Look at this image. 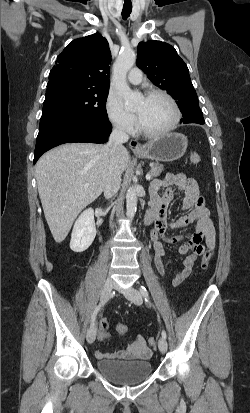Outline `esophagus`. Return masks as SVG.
Here are the masks:
<instances>
[{
  "mask_svg": "<svg viewBox=\"0 0 250 413\" xmlns=\"http://www.w3.org/2000/svg\"><path fill=\"white\" fill-rule=\"evenodd\" d=\"M130 149L134 152V153H138L144 150V147L137 141V140H132L130 142Z\"/></svg>",
  "mask_w": 250,
  "mask_h": 413,
  "instance_id": "esophagus-1",
  "label": "esophagus"
}]
</instances>
